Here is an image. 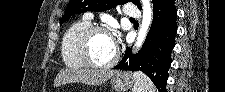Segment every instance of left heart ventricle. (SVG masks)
<instances>
[{
	"label": "left heart ventricle",
	"instance_id": "left-heart-ventricle-1",
	"mask_svg": "<svg viewBox=\"0 0 225 92\" xmlns=\"http://www.w3.org/2000/svg\"><path fill=\"white\" fill-rule=\"evenodd\" d=\"M116 46L112 36L106 32L93 35L89 44L91 58L98 64L109 62L115 55Z\"/></svg>",
	"mask_w": 225,
	"mask_h": 92
}]
</instances>
